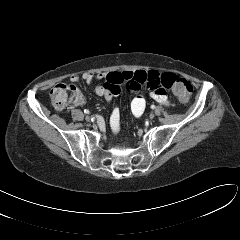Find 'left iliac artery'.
<instances>
[{"label": "left iliac artery", "mask_w": 240, "mask_h": 240, "mask_svg": "<svg viewBox=\"0 0 240 240\" xmlns=\"http://www.w3.org/2000/svg\"><path fill=\"white\" fill-rule=\"evenodd\" d=\"M151 108H152V109H155V105H151Z\"/></svg>", "instance_id": "44dca946"}]
</instances>
